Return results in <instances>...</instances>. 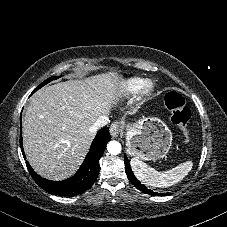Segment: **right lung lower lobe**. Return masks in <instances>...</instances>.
I'll return each mask as SVG.
<instances>
[{
  "label": "right lung lower lobe",
  "mask_w": 227,
  "mask_h": 227,
  "mask_svg": "<svg viewBox=\"0 0 227 227\" xmlns=\"http://www.w3.org/2000/svg\"><path fill=\"white\" fill-rule=\"evenodd\" d=\"M21 135L20 147L25 159ZM110 139L108 128L104 127L101 129L93 140L89 153L77 173L64 181L44 179L34 172L27 161L26 165L35 182L45 191L56 195L74 196L89 189L96 181L99 172V159L103 155L105 146Z\"/></svg>",
  "instance_id": "right-lung-lower-lobe-1"
}]
</instances>
